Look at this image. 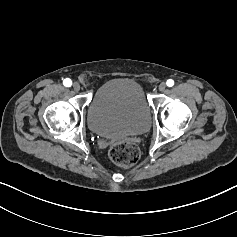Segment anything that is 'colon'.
Instances as JSON below:
<instances>
[{
  "label": "colon",
  "instance_id": "obj_1",
  "mask_svg": "<svg viewBox=\"0 0 237 237\" xmlns=\"http://www.w3.org/2000/svg\"><path fill=\"white\" fill-rule=\"evenodd\" d=\"M110 160L120 167H132L139 158L140 151L138 147L130 141H122L112 144L108 149Z\"/></svg>",
  "mask_w": 237,
  "mask_h": 237
}]
</instances>
